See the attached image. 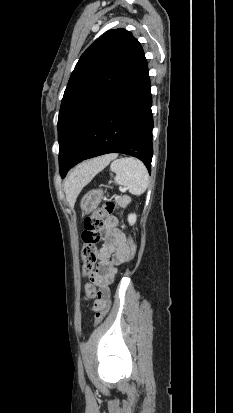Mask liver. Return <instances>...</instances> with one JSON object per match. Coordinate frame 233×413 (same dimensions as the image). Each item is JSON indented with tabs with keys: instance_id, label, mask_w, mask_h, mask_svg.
I'll return each instance as SVG.
<instances>
[{
	"instance_id": "obj_1",
	"label": "liver",
	"mask_w": 233,
	"mask_h": 413,
	"mask_svg": "<svg viewBox=\"0 0 233 413\" xmlns=\"http://www.w3.org/2000/svg\"><path fill=\"white\" fill-rule=\"evenodd\" d=\"M114 158L115 155L98 157L87 162H83L71 172L64 184V191L70 206L74 204L75 199L82 188L90 182L95 174L105 168Z\"/></svg>"
}]
</instances>
